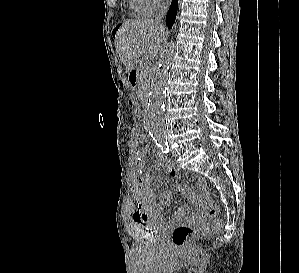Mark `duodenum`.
Wrapping results in <instances>:
<instances>
[{"instance_id": "410a0bca", "label": "duodenum", "mask_w": 299, "mask_h": 273, "mask_svg": "<svg viewBox=\"0 0 299 273\" xmlns=\"http://www.w3.org/2000/svg\"><path fill=\"white\" fill-rule=\"evenodd\" d=\"M137 76H138L137 70L131 71L129 79H130V83L133 87H135V85H136Z\"/></svg>"}]
</instances>
